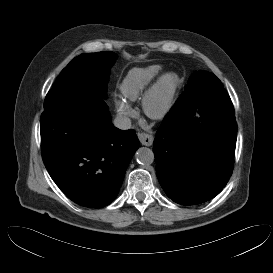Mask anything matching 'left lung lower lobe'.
Masks as SVG:
<instances>
[{"label": "left lung lower lobe", "mask_w": 273, "mask_h": 273, "mask_svg": "<svg viewBox=\"0 0 273 273\" xmlns=\"http://www.w3.org/2000/svg\"><path fill=\"white\" fill-rule=\"evenodd\" d=\"M236 139L231 99L221 81L209 76L192 95L176 101L156 133V172L167 196L196 205L218 195L232 175Z\"/></svg>", "instance_id": "0a47b994"}]
</instances>
